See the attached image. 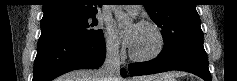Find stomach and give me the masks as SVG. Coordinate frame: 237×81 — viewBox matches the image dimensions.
Instances as JSON below:
<instances>
[{
	"label": "stomach",
	"instance_id": "0dacf381",
	"mask_svg": "<svg viewBox=\"0 0 237 81\" xmlns=\"http://www.w3.org/2000/svg\"><path fill=\"white\" fill-rule=\"evenodd\" d=\"M152 81H167V80H165L163 78H158V79H155V80H152Z\"/></svg>",
	"mask_w": 237,
	"mask_h": 81
}]
</instances>
